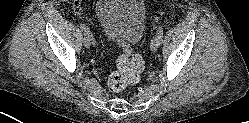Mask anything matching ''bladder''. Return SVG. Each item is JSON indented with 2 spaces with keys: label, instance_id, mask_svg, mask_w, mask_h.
Returning <instances> with one entry per match:
<instances>
[{
  "label": "bladder",
  "instance_id": "bladder-1",
  "mask_svg": "<svg viewBox=\"0 0 249 123\" xmlns=\"http://www.w3.org/2000/svg\"><path fill=\"white\" fill-rule=\"evenodd\" d=\"M95 9L110 42L130 46L142 38L146 27L143 0H97Z\"/></svg>",
  "mask_w": 249,
  "mask_h": 123
}]
</instances>
